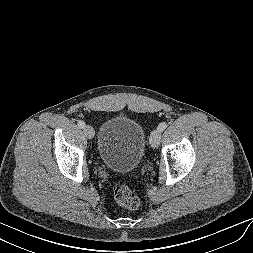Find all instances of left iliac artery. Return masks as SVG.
I'll return each mask as SVG.
<instances>
[{
  "label": "left iliac artery",
  "instance_id": "left-iliac-artery-1",
  "mask_svg": "<svg viewBox=\"0 0 253 253\" xmlns=\"http://www.w3.org/2000/svg\"><path fill=\"white\" fill-rule=\"evenodd\" d=\"M167 127V124L166 122H161L159 125H158V129L162 132L166 129Z\"/></svg>",
  "mask_w": 253,
  "mask_h": 253
}]
</instances>
